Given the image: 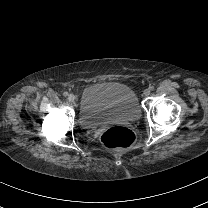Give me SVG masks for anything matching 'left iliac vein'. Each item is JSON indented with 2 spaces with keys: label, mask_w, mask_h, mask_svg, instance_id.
Returning <instances> with one entry per match:
<instances>
[{
  "label": "left iliac vein",
  "mask_w": 208,
  "mask_h": 208,
  "mask_svg": "<svg viewBox=\"0 0 208 208\" xmlns=\"http://www.w3.org/2000/svg\"><path fill=\"white\" fill-rule=\"evenodd\" d=\"M144 95L145 96H149L150 95V90L149 89H145L144 90Z\"/></svg>",
  "instance_id": "obj_1"
}]
</instances>
